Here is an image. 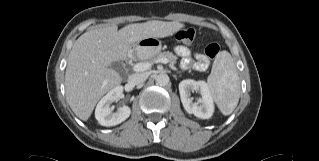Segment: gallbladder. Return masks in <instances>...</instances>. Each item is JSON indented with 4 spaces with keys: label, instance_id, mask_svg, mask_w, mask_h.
<instances>
[{
    "label": "gallbladder",
    "instance_id": "gallbladder-1",
    "mask_svg": "<svg viewBox=\"0 0 319 161\" xmlns=\"http://www.w3.org/2000/svg\"><path fill=\"white\" fill-rule=\"evenodd\" d=\"M112 69L116 70L117 72H119L120 74L123 73V69H124V66L121 62H114L111 64L110 66Z\"/></svg>",
    "mask_w": 319,
    "mask_h": 161
}]
</instances>
